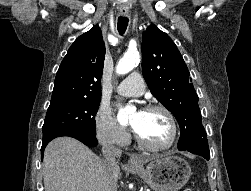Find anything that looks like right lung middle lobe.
Wrapping results in <instances>:
<instances>
[{
    "label": "right lung middle lobe",
    "mask_w": 251,
    "mask_h": 191,
    "mask_svg": "<svg viewBox=\"0 0 251 191\" xmlns=\"http://www.w3.org/2000/svg\"><path fill=\"white\" fill-rule=\"evenodd\" d=\"M99 104L100 100H93L49 106L42 127L43 140L67 130L96 135L95 115Z\"/></svg>",
    "instance_id": "right-lung-middle-lobe-1"
}]
</instances>
